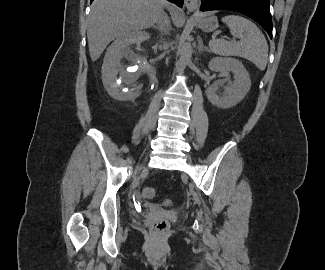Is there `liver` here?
Masks as SVG:
<instances>
[{"mask_svg":"<svg viewBox=\"0 0 325 270\" xmlns=\"http://www.w3.org/2000/svg\"><path fill=\"white\" fill-rule=\"evenodd\" d=\"M165 3L162 0H94L88 20L87 38L92 61H96L114 40L129 39L154 25ZM177 27L183 24V13L168 6Z\"/></svg>","mask_w":325,"mask_h":270,"instance_id":"1","label":"liver"}]
</instances>
